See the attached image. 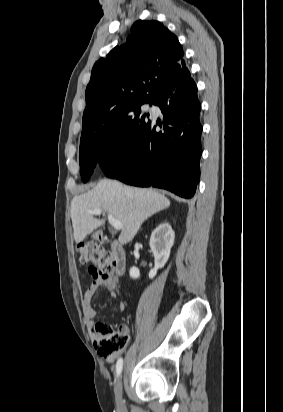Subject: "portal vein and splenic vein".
I'll return each mask as SVG.
<instances>
[{
	"mask_svg": "<svg viewBox=\"0 0 283 412\" xmlns=\"http://www.w3.org/2000/svg\"><path fill=\"white\" fill-rule=\"evenodd\" d=\"M87 212L92 215H99L102 213V209L96 208L93 210H87ZM108 221L116 230H121L123 228L122 223L119 220L115 219L112 215H108Z\"/></svg>",
	"mask_w": 283,
	"mask_h": 412,
	"instance_id": "18ae733b",
	"label": "portal vein and splenic vein"
}]
</instances>
